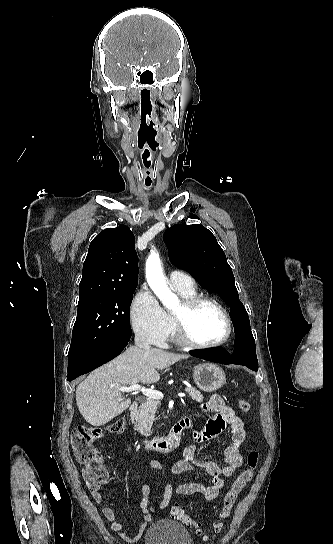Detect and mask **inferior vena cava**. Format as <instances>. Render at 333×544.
Listing matches in <instances>:
<instances>
[{"label": "inferior vena cava", "mask_w": 333, "mask_h": 544, "mask_svg": "<svg viewBox=\"0 0 333 544\" xmlns=\"http://www.w3.org/2000/svg\"><path fill=\"white\" fill-rule=\"evenodd\" d=\"M134 340L136 347L143 349L146 353L150 351V342L144 334L136 333Z\"/></svg>", "instance_id": "inferior-vena-cava-1"}]
</instances>
